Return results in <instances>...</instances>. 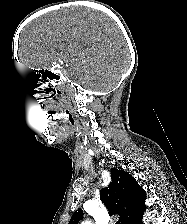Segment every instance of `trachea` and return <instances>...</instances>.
Listing matches in <instances>:
<instances>
[{
	"label": "trachea",
	"instance_id": "1",
	"mask_svg": "<svg viewBox=\"0 0 187 224\" xmlns=\"http://www.w3.org/2000/svg\"><path fill=\"white\" fill-rule=\"evenodd\" d=\"M116 224H120V222L118 221V222H116Z\"/></svg>",
	"mask_w": 187,
	"mask_h": 224
}]
</instances>
